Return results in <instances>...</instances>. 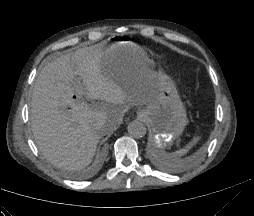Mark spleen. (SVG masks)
I'll return each mask as SVG.
<instances>
[{
  "instance_id": "obj_1",
  "label": "spleen",
  "mask_w": 254,
  "mask_h": 216,
  "mask_svg": "<svg viewBox=\"0 0 254 216\" xmlns=\"http://www.w3.org/2000/svg\"><path fill=\"white\" fill-rule=\"evenodd\" d=\"M198 141V138H193V140L187 144V146H185L184 148L174 152V153H167L162 149H157V156L158 158L165 163L168 166L174 167L177 165L179 158L178 156H182L184 154H186L189 149Z\"/></svg>"
}]
</instances>
